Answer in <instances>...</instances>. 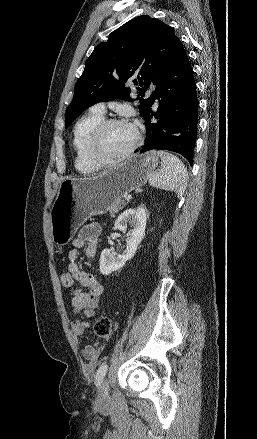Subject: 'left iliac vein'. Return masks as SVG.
I'll return each instance as SVG.
<instances>
[{"instance_id": "left-iliac-vein-1", "label": "left iliac vein", "mask_w": 257, "mask_h": 439, "mask_svg": "<svg viewBox=\"0 0 257 439\" xmlns=\"http://www.w3.org/2000/svg\"><path fill=\"white\" fill-rule=\"evenodd\" d=\"M109 399V383L107 379H103L101 382L98 398V403H105Z\"/></svg>"}]
</instances>
